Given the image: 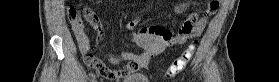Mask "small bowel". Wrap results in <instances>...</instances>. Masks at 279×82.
Listing matches in <instances>:
<instances>
[{
    "instance_id": "c3829d8e",
    "label": "small bowel",
    "mask_w": 279,
    "mask_h": 82,
    "mask_svg": "<svg viewBox=\"0 0 279 82\" xmlns=\"http://www.w3.org/2000/svg\"><path fill=\"white\" fill-rule=\"evenodd\" d=\"M186 7L187 5H179L175 7L174 13H181ZM218 8L219 3L208 4L201 16L198 12H192L176 32L161 26L140 28L134 33L133 37L137 45L143 49L142 53L121 52L104 55L105 60L112 65L127 62V65L118 71L110 70L102 61L94 57L92 45L81 21L72 23V31L78 42L84 62L95 69L101 76L113 80L135 73L139 68L145 67L152 58L164 53L168 48L182 45L192 36L200 35L206 26L208 18L215 14ZM137 24V21H131L128 23V28L132 30L136 28ZM94 28L99 35L103 34L101 24Z\"/></svg>"
}]
</instances>
